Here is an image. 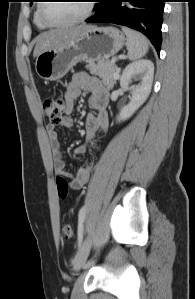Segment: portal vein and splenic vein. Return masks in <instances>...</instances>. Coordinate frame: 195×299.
<instances>
[{"mask_svg":"<svg viewBox=\"0 0 195 299\" xmlns=\"http://www.w3.org/2000/svg\"><path fill=\"white\" fill-rule=\"evenodd\" d=\"M114 77H115L116 79L119 78V72H118V71H116V72L114 73Z\"/></svg>","mask_w":195,"mask_h":299,"instance_id":"1","label":"portal vein and splenic vein"}]
</instances>
